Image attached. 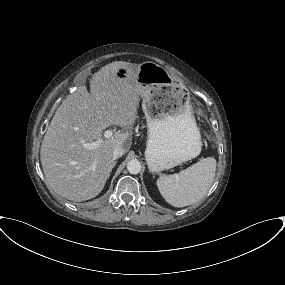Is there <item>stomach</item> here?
Listing matches in <instances>:
<instances>
[{
  "label": "stomach",
  "instance_id": "stomach-1",
  "mask_svg": "<svg viewBox=\"0 0 285 285\" xmlns=\"http://www.w3.org/2000/svg\"><path fill=\"white\" fill-rule=\"evenodd\" d=\"M116 76L133 78L143 98L148 128L145 158L151 173L171 169L200 154L201 135L190 94L182 83L151 61L119 67Z\"/></svg>",
  "mask_w": 285,
  "mask_h": 285
}]
</instances>
